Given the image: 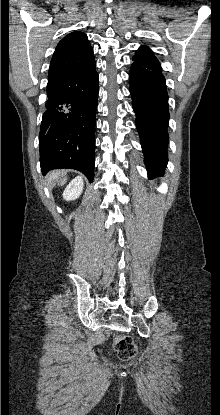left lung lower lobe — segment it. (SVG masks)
I'll return each instance as SVG.
<instances>
[{
    "label": "left lung lower lobe",
    "instance_id": "left-lung-lower-lobe-1",
    "mask_svg": "<svg viewBox=\"0 0 220 415\" xmlns=\"http://www.w3.org/2000/svg\"><path fill=\"white\" fill-rule=\"evenodd\" d=\"M129 72L132 106L149 176L161 175L167 165L168 94L157 58L134 56Z\"/></svg>",
    "mask_w": 220,
    "mask_h": 415
}]
</instances>
